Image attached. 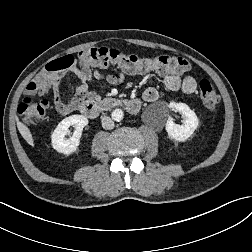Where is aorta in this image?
I'll return each mask as SVG.
<instances>
[{
  "label": "aorta",
  "mask_w": 252,
  "mask_h": 252,
  "mask_svg": "<svg viewBox=\"0 0 252 252\" xmlns=\"http://www.w3.org/2000/svg\"><path fill=\"white\" fill-rule=\"evenodd\" d=\"M123 116H124V112L122 109H115L113 112H112V119L119 122L123 119Z\"/></svg>",
  "instance_id": "obj_1"
}]
</instances>
